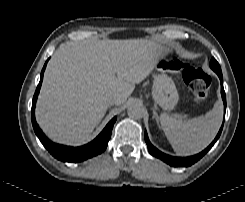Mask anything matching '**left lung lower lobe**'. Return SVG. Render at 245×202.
Instances as JSON below:
<instances>
[{
	"instance_id": "0a47b994",
	"label": "left lung lower lobe",
	"mask_w": 245,
	"mask_h": 202,
	"mask_svg": "<svg viewBox=\"0 0 245 202\" xmlns=\"http://www.w3.org/2000/svg\"><path fill=\"white\" fill-rule=\"evenodd\" d=\"M217 75L219 76V78L221 80V95H222V99L224 102V109H226V96H225V91L223 88V76H222V73H217ZM222 128H223V125L221 126L216 138L214 139V141L205 150H203L199 154H196L194 156L185 157V158L169 156L167 154L162 153L157 148L153 147V145L150 143V141L148 139L146 131H145V141H146V144L148 146V150H149L151 155L163 160L167 164L174 166V167H188V166H191L192 164H194L195 162H197L198 160H200L211 149V147L214 145V143L218 140V138L222 132Z\"/></svg>"
}]
</instances>
